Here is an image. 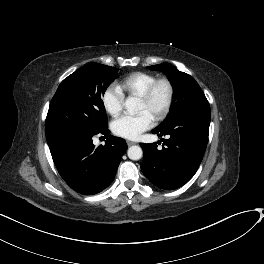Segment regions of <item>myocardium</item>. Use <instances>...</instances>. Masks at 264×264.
Segmentation results:
<instances>
[{"label": "myocardium", "mask_w": 264, "mask_h": 264, "mask_svg": "<svg viewBox=\"0 0 264 264\" xmlns=\"http://www.w3.org/2000/svg\"><path fill=\"white\" fill-rule=\"evenodd\" d=\"M161 85H164L166 87L167 96L163 107L153 117L155 121L163 120L170 112L175 92L172 82L168 78H158L147 88V90L142 95L139 96L140 100L150 103L152 102L158 87Z\"/></svg>", "instance_id": "myocardium-1"}]
</instances>
